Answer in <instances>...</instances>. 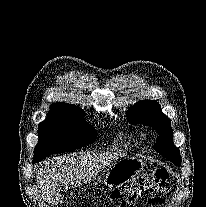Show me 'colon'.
I'll use <instances>...</instances> for the list:
<instances>
[{
    "label": "colon",
    "instance_id": "5ec220e1",
    "mask_svg": "<svg viewBox=\"0 0 206 207\" xmlns=\"http://www.w3.org/2000/svg\"><path fill=\"white\" fill-rule=\"evenodd\" d=\"M170 189L169 174L164 168H157L139 174L130 183L126 194L115 192L113 197L120 199L122 206L134 201L143 195H151V202H159L160 196Z\"/></svg>",
    "mask_w": 206,
    "mask_h": 207
}]
</instances>
